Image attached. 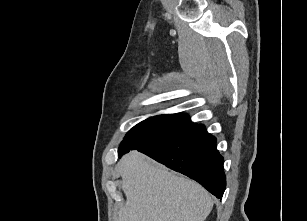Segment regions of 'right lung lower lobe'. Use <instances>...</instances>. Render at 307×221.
I'll use <instances>...</instances> for the list:
<instances>
[{"label": "right lung lower lobe", "mask_w": 307, "mask_h": 221, "mask_svg": "<svg viewBox=\"0 0 307 221\" xmlns=\"http://www.w3.org/2000/svg\"><path fill=\"white\" fill-rule=\"evenodd\" d=\"M137 150L196 180L222 198L226 187L224 160L216 149V138L202 124L170 140Z\"/></svg>", "instance_id": "right-lung-lower-lobe-1"}]
</instances>
